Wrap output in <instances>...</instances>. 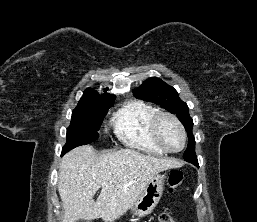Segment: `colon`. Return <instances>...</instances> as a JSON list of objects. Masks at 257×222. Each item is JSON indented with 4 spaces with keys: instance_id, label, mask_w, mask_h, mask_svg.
Returning <instances> with one entry per match:
<instances>
[{
    "instance_id": "1",
    "label": "colon",
    "mask_w": 257,
    "mask_h": 222,
    "mask_svg": "<svg viewBox=\"0 0 257 222\" xmlns=\"http://www.w3.org/2000/svg\"><path fill=\"white\" fill-rule=\"evenodd\" d=\"M184 180V173L180 169H175L170 172L167 179L168 190L170 193L179 191ZM156 222H175L170 211L162 212Z\"/></svg>"
}]
</instances>
